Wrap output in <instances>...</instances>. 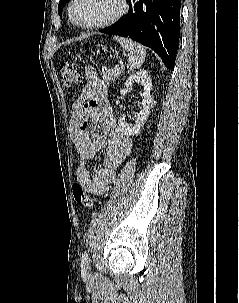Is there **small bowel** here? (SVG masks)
I'll return each instance as SVG.
<instances>
[{
    "label": "small bowel",
    "mask_w": 239,
    "mask_h": 303,
    "mask_svg": "<svg viewBox=\"0 0 239 303\" xmlns=\"http://www.w3.org/2000/svg\"><path fill=\"white\" fill-rule=\"evenodd\" d=\"M87 75V83L73 106L72 140L78 154L74 178L85 191L103 195L110 190L117 169L131 152L132 140L115 121L104 82L91 68H87ZM103 149L104 166L91 175L89 162Z\"/></svg>",
    "instance_id": "1"
}]
</instances>
